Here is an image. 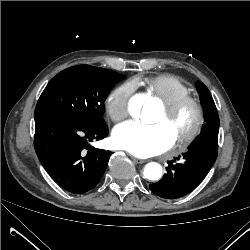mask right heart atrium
I'll list each match as a JSON object with an SVG mask.
<instances>
[{"label":"right heart atrium","mask_w":250,"mask_h":250,"mask_svg":"<svg viewBox=\"0 0 250 250\" xmlns=\"http://www.w3.org/2000/svg\"><path fill=\"white\" fill-rule=\"evenodd\" d=\"M132 92L133 86L131 84H121L107 95L105 108L114 121L122 120L128 115Z\"/></svg>","instance_id":"d8ad5b80"}]
</instances>
